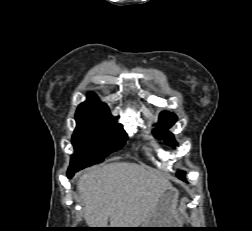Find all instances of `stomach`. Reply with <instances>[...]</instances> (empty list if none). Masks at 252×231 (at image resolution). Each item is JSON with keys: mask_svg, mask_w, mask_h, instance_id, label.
I'll return each instance as SVG.
<instances>
[{"mask_svg": "<svg viewBox=\"0 0 252 231\" xmlns=\"http://www.w3.org/2000/svg\"><path fill=\"white\" fill-rule=\"evenodd\" d=\"M177 192L169 187L158 199L157 205L151 213L148 220L140 227L139 230L152 231H172L175 229H152V228H179L177 227L178 219L176 217Z\"/></svg>", "mask_w": 252, "mask_h": 231, "instance_id": "1", "label": "stomach"}]
</instances>
